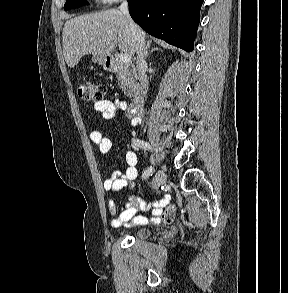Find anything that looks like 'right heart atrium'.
<instances>
[{"instance_id":"1","label":"right heart atrium","mask_w":288,"mask_h":293,"mask_svg":"<svg viewBox=\"0 0 288 293\" xmlns=\"http://www.w3.org/2000/svg\"><path fill=\"white\" fill-rule=\"evenodd\" d=\"M102 2L104 3H114V2H117L119 0H101Z\"/></svg>"}]
</instances>
